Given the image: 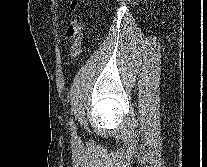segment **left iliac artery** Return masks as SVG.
Instances as JSON below:
<instances>
[{"label": "left iliac artery", "instance_id": "1", "mask_svg": "<svg viewBox=\"0 0 207 167\" xmlns=\"http://www.w3.org/2000/svg\"><path fill=\"white\" fill-rule=\"evenodd\" d=\"M69 124L71 126L72 136L75 137V138H77L76 129H75V126H74L73 119H70Z\"/></svg>", "mask_w": 207, "mask_h": 167}]
</instances>
